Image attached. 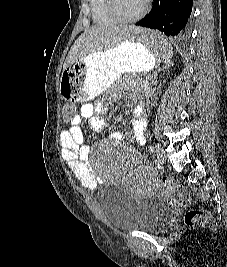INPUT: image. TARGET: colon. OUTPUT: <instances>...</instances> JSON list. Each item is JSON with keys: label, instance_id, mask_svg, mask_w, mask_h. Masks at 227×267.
Listing matches in <instances>:
<instances>
[{"label": "colon", "instance_id": "1", "mask_svg": "<svg viewBox=\"0 0 227 267\" xmlns=\"http://www.w3.org/2000/svg\"><path fill=\"white\" fill-rule=\"evenodd\" d=\"M76 109V105H65L61 118L75 119L76 112L73 110ZM65 124H68V121H65ZM160 186L165 191L178 194L181 198L186 197L183 186L178 181L169 176L165 175L162 177ZM184 222L188 227H205L208 226L211 222V214L203 209H190L185 214Z\"/></svg>", "mask_w": 227, "mask_h": 267}]
</instances>
